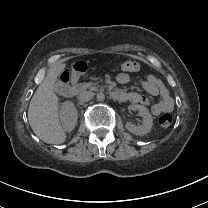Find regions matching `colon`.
I'll return each instance as SVG.
<instances>
[{"label": "colon", "instance_id": "1", "mask_svg": "<svg viewBox=\"0 0 208 208\" xmlns=\"http://www.w3.org/2000/svg\"><path fill=\"white\" fill-rule=\"evenodd\" d=\"M73 69L75 75H82L85 73L87 69V64L83 60H78L74 62ZM139 70V65L137 60L134 57H127L125 59L120 60L116 66L115 71L120 74H133ZM173 117L170 113H164L161 115L159 119V125L163 128H168L172 125Z\"/></svg>", "mask_w": 208, "mask_h": 208}]
</instances>
